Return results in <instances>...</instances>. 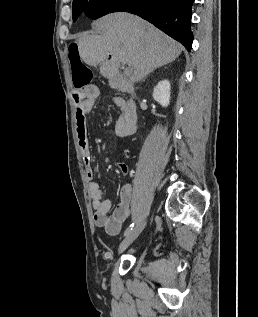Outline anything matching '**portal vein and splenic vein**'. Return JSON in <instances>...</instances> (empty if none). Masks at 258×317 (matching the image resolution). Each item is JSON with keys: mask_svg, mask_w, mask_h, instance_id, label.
Instances as JSON below:
<instances>
[{"mask_svg": "<svg viewBox=\"0 0 258 317\" xmlns=\"http://www.w3.org/2000/svg\"><path fill=\"white\" fill-rule=\"evenodd\" d=\"M125 70H126V74H131L132 68H131L130 64H129V66H127V68H125Z\"/></svg>", "mask_w": 258, "mask_h": 317, "instance_id": "1", "label": "portal vein and splenic vein"}]
</instances>
